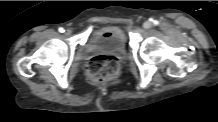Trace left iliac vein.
I'll use <instances>...</instances> for the list:
<instances>
[{
	"label": "left iliac vein",
	"instance_id": "obj_1",
	"mask_svg": "<svg viewBox=\"0 0 218 122\" xmlns=\"http://www.w3.org/2000/svg\"><path fill=\"white\" fill-rule=\"evenodd\" d=\"M151 26H152V24H151L150 22H148V21H146V22L143 23V28H145V29H148V28H150Z\"/></svg>",
	"mask_w": 218,
	"mask_h": 122
}]
</instances>
